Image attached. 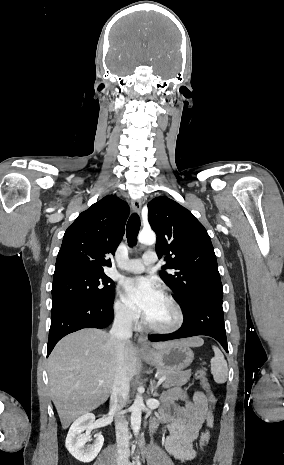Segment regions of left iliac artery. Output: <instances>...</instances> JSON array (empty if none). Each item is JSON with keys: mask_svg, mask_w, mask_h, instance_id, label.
<instances>
[{"mask_svg": "<svg viewBox=\"0 0 284 465\" xmlns=\"http://www.w3.org/2000/svg\"><path fill=\"white\" fill-rule=\"evenodd\" d=\"M137 465H141V463L139 461H137Z\"/></svg>", "mask_w": 284, "mask_h": 465, "instance_id": "1", "label": "left iliac artery"}]
</instances>
